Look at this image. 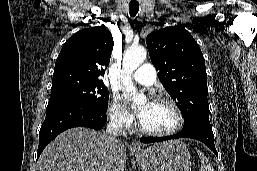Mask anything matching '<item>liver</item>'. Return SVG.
<instances>
[{"label":"liver","instance_id":"liver-1","mask_svg":"<svg viewBox=\"0 0 257 171\" xmlns=\"http://www.w3.org/2000/svg\"><path fill=\"white\" fill-rule=\"evenodd\" d=\"M126 160L123 142L78 127L48 144L38 160V171H124Z\"/></svg>","mask_w":257,"mask_h":171}]
</instances>
